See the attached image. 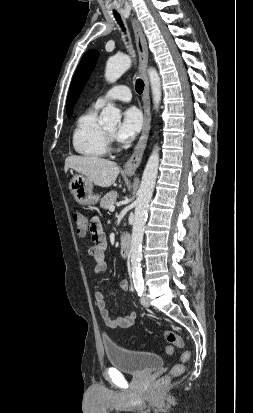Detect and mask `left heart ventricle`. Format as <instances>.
Masks as SVG:
<instances>
[{
	"label": "left heart ventricle",
	"instance_id": "b2bd125f",
	"mask_svg": "<svg viewBox=\"0 0 253 413\" xmlns=\"http://www.w3.org/2000/svg\"><path fill=\"white\" fill-rule=\"evenodd\" d=\"M105 129H107L108 131L114 133L116 127H115V126H108V127H106Z\"/></svg>",
	"mask_w": 253,
	"mask_h": 413
}]
</instances>
